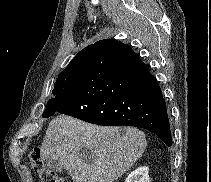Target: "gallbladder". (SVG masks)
I'll return each mask as SVG.
<instances>
[{
    "label": "gallbladder",
    "mask_w": 211,
    "mask_h": 182,
    "mask_svg": "<svg viewBox=\"0 0 211 182\" xmlns=\"http://www.w3.org/2000/svg\"><path fill=\"white\" fill-rule=\"evenodd\" d=\"M81 155L86 160L93 159V154L85 148L81 150ZM45 165L54 172L61 173L64 170V167L59 163V161L51 157L45 159Z\"/></svg>",
    "instance_id": "1"
}]
</instances>
